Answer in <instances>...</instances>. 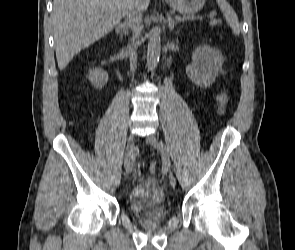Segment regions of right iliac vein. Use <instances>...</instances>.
Segmentation results:
<instances>
[{"instance_id":"obj_1","label":"right iliac vein","mask_w":295,"mask_h":250,"mask_svg":"<svg viewBox=\"0 0 295 250\" xmlns=\"http://www.w3.org/2000/svg\"><path fill=\"white\" fill-rule=\"evenodd\" d=\"M135 137L133 134H130L127 139L125 160H124V169L125 173H131L133 169V162L135 158V145H134Z\"/></svg>"}]
</instances>
